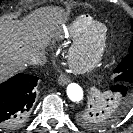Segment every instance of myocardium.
<instances>
[{
  "label": "myocardium",
  "mask_w": 133,
  "mask_h": 133,
  "mask_svg": "<svg viewBox=\"0 0 133 133\" xmlns=\"http://www.w3.org/2000/svg\"><path fill=\"white\" fill-rule=\"evenodd\" d=\"M100 30L98 40L93 43V34ZM109 41V29L103 22L95 21L74 41L67 52L69 67L78 74L94 71L102 61Z\"/></svg>",
  "instance_id": "f54148a6"
}]
</instances>
